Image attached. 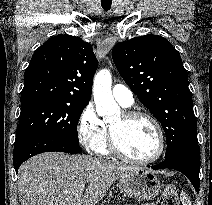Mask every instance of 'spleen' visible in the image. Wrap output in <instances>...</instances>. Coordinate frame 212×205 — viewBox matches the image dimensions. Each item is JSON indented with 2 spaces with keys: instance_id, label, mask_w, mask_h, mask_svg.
Returning <instances> with one entry per match:
<instances>
[{
  "instance_id": "1",
  "label": "spleen",
  "mask_w": 212,
  "mask_h": 205,
  "mask_svg": "<svg viewBox=\"0 0 212 205\" xmlns=\"http://www.w3.org/2000/svg\"><path fill=\"white\" fill-rule=\"evenodd\" d=\"M180 200L183 205H191V201H190L188 195L183 191L180 193Z\"/></svg>"
}]
</instances>
